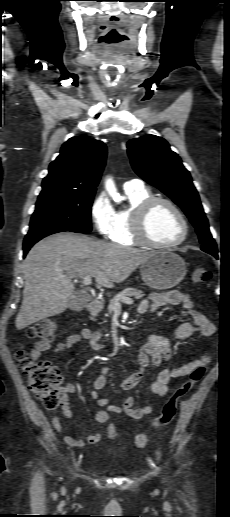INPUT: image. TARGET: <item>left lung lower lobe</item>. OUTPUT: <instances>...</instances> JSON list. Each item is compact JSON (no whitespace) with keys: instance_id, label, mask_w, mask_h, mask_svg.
Wrapping results in <instances>:
<instances>
[{"instance_id":"0a47b994","label":"left lung lower lobe","mask_w":230,"mask_h":517,"mask_svg":"<svg viewBox=\"0 0 230 517\" xmlns=\"http://www.w3.org/2000/svg\"><path fill=\"white\" fill-rule=\"evenodd\" d=\"M214 257L218 258V255L216 254Z\"/></svg>"}]
</instances>
